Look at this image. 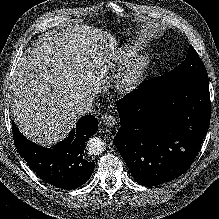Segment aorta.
I'll return each instance as SVG.
<instances>
[{
	"label": "aorta",
	"instance_id": "aorta-1",
	"mask_svg": "<svg viewBox=\"0 0 219 219\" xmlns=\"http://www.w3.org/2000/svg\"><path fill=\"white\" fill-rule=\"evenodd\" d=\"M86 149L91 155H99L105 149V142L99 137L90 138L87 141Z\"/></svg>",
	"mask_w": 219,
	"mask_h": 219
}]
</instances>
